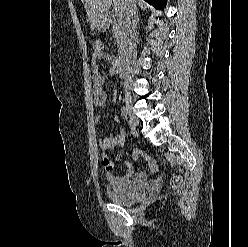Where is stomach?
<instances>
[{"label": "stomach", "instance_id": "stomach-1", "mask_svg": "<svg viewBox=\"0 0 248 247\" xmlns=\"http://www.w3.org/2000/svg\"><path fill=\"white\" fill-rule=\"evenodd\" d=\"M108 27H109V23L105 17L101 18L96 25L97 30L100 32L106 31Z\"/></svg>", "mask_w": 248, "mask_h": 247}]
</instances>
